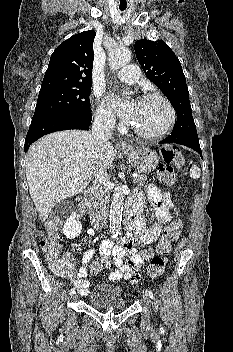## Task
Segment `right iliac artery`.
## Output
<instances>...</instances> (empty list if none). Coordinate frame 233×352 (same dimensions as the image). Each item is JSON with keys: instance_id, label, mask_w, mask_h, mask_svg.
<instances>
[{"instance_id": "right-iliac-artery-1", "label": "right iliac artery", "mask_w": 233, "mask_h": 352, "mask_svg": "<svg viewBox=\"0 0 233 352\" xmlns=\"http://www.w3.org/2000/svg\"><path fill=\"white\" fill-rule=\"evenodd\" d=\"M74 293H75V289L72 288V289L70 290V294H74Z\"/></svg>"}]
</instances>
